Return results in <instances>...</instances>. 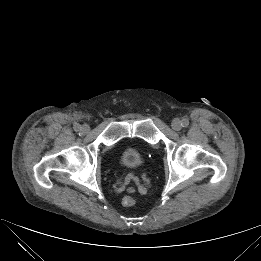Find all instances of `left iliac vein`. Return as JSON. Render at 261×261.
<instances>
[{
    "label": "left iliac vein",
    "mask_w": 261,
    "mask_h": 261,
    "mask_svg": "<svg viewBox=\"0 0 261 261\" xmlns=\"http://www.w3.org/2000/svg\"><path fill=\"white\" fill-rule=\"evenodd\" d=\"M173 130L180 131L182 128L181 121L179 119H174L171 123Z\"/></svg>",
    "instance_id": "left-iliac-vein-1"
}]
</instances>
